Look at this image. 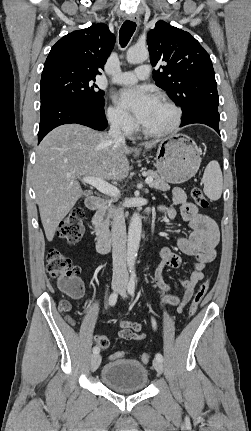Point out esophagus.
Instances as JSON below:
<instances>
[{"label":"esophagus","instance_id":"obj_1","mask_svg":"<svg viewBox=\"0 0 251 431\" xmlns=\"http://www.w3.org/2000/svg\"><path fill=\"white\" fill-rule=\"evenodd\" d=\"M128 19H129L130 21H132V22H135L137 25H139V24H140V18H139V16H138V15H136V14L130 15V16L128 17Z\"/></svg>","mask_w":251,"mask_h":431}]
</instances>
